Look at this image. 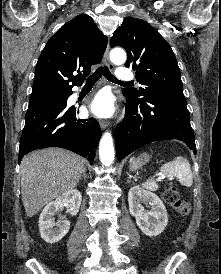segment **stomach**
<instances>
[{
	"instance_id": "stomach-1",
	"label": "stomach",
	"mask_w": 221,
	"mask_h": 274,
	"mask_svg": "<svg viewBox=\"0 0 221 274\" xmlns=\"http://www.w3.org/2000/svg\"><path fill=\"white\" fill-rule=\"evenodd\" d=\"M149 161V156L147 154H142L140 157H138L136 160H133L130 164V168L132 170H137L140 167H142V165H144L145 163H147Z\"/></svg>"
}]
</instances>
